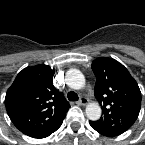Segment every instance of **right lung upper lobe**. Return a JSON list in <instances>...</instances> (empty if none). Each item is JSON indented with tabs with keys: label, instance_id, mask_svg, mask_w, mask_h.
Returning a JSON list of instances; mask_svg holds the SVG:
<instances>
[{
	"label": "right lung upper lobe",
	"instance_id": "1",
	"mask_svg": "<svg viewBox=\"0 0 145 145\" xmlns=\"http://www.w3.org/2000/svg\"><path fill=\"white\" fill-rule=\"evenodd\" d=\"M54 70L41 64L23 69L6 93L7 113L23 134L36 137L63 122L69 103L53 86Z\"/></svg>",
	"mask_w": 145,
	"mask_h": 145
}]
</instances>
